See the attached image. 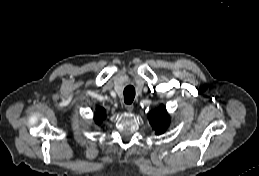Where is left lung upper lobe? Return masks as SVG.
<instances>
[{
    "label": "left lung upper lobe",
    "mask_w": 259,
    "mask_h": 176,
    "mask_svg": "<svg viewBox=\"0 0 259 176\" xmlns=\"http://www.w3.org/2000/svg\"><path fill=\"white\" fill-rule=\"evenodd\" d=\"M149 121L156 130V134L165 132L169 125V116L164 105H160L155 111L149 114Z\"/></svg>",
    "instance_id": "left-lung-upper-lobe-1"
}]
</instances>
